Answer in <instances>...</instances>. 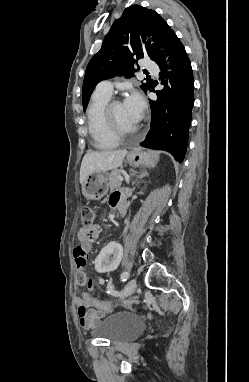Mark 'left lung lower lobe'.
Returning <instances> with one entry per match:
<instances>
[{
    "label": "left lung lower lobe",
    "instance_id": "left-lung-lower-lobe-1",
    "mask_svg": "<svg viewBox=\"0 0 249 382\" xmlns=\"http://www.w3.org/2000/svg\"><path fill=\"white\" fill-rule=\"evenodd\" d=\"M172 72L168 74L170 87L164 78L165 88L156 91L157 100L151 101V128L141 146L165 150L182 162L186 153L188 130L194 104V81L188 55L176 37L168 51ZM161 69L160 76L166 77L165 57L157 62ZM154 91L153 86L150 89Z\"/></svg>",
    "mask_w": 249,
    "mask_h": 382
}]
</instances>
